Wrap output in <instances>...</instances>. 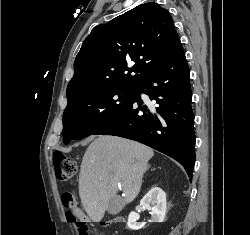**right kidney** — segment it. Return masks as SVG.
Segmentation results:
<instances>
[{"label":"right kidney","mask_w":250,"mask_h":235,"mask_svg":"<svg viewBox=\"0 0 250 235\" xmlns=\"http://www.w3.org/2000/svg\"><path fill=\"white\" fill-rule=\"evenodd\" d=\"M140 206L149 210L152 222H163L166 214V193L159 187L154 186L141 199ZM139 214L131 212L128 217L127 225L131 230H139L144 224L137 223Z\"/></svg>","instance_id":"ca27d5eb"}]
</instances>
